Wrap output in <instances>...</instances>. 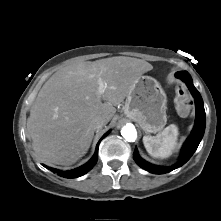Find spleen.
<instances>
[{
  "instance_id": "spleen-1",
  "label": "spleen",
  "mask_w": 221,
  "mask_h": 221,
  "mask_svg": "<svg viewBox=\"0 0 221 221\" xmlns=\"http://www.w3.org/2000/svg\"><path fill=\"white\" fill-rule=\"evenodd\" d=\"M178 135V127L171 124L156 136H144L143 144L151 156L155 158H168L172 155L177 145Z\"/></svg>"
}]
</instances>
